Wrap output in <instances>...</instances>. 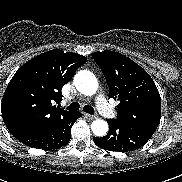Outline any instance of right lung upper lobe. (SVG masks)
Listing matches in <instances>:
<instances>
[{"label": "right lung upper lobe", "mask_w": 182, "mask_h": 182, "mask_svg": "<svg viewBox=\"0 0 182 182\" xmlns=\"http://www.w3.org/2000/svg\"><path fill=\"white\" fill-rule=\"evenodd\" d=\"M85 62L84 56L53 49L19 68L1 104L9 132L16 138L70 117L74 112L56 104L62 100V87Z\"/></svg>", "instance_id": "cb5924a9"}]
</instances>
